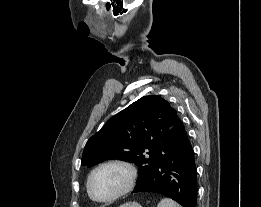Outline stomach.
<instances>
[{"label":"stomach","instance_id":"1","mask_svg":"<svg viewBox=\"0 0 261 207\" xmlns=\"http://www.w3.org/2000/svg\"><path fill=\"white\" fill-rule=\"evenodd\" d=\"M119 207H141V206L137 202H128L123 205H120Z\"/></svg>","mask_w":261,"mask_h":207}]
</instances>
